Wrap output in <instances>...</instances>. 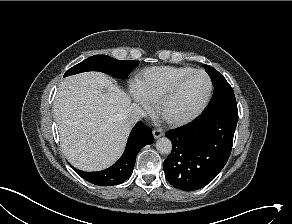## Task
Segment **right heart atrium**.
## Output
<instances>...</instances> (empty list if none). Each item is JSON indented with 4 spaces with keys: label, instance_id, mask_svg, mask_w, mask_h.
<instances>
[{
    "label": "right heart atrium",
    "instance_id": "obj_1",
    "mask_svg": "<svg viewBox=\"0 0 292 224\" xmlns=\"http://www.w3.org/2000/svg\"><path fill=\"white\" fill-rule=\"evenodd\" d=\"M131 96L133 100L142 106L145 109H148L150 107L149 101L140 93V91L135 87H132L130 90Z\"/></svg>",
    "mask_w": 292,
    "mask_h": 224
}]
</instances>
